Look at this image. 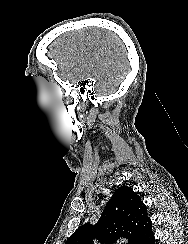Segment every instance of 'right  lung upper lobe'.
I'll list each match as a JSON object with an SVG mask.
<instances>
[{"label": "right lung upper lobe", "instance_id": "1", "mask_svg": "<svg viewBox=\"0 0 188 244\" xmlns=\"http://www.w3.org/2000/svg\"><path fill=\"white\" fill-rule=\"evenodd\" d=\"M151 227L145 204L123 185L112 195L97 224L82 225L65 244H91L93 238L103 244H114L121 238L127 239L128 244H139Z\"/></svg>", "mask_w": 188, "mask_h": 244}]
</instances>
